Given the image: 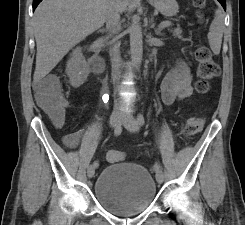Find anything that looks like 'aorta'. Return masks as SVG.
<instances>
[{"label":"aorta","mask_w":245,"mask_h":225,"mask_svg":"<svg viewBox=\"0 0 245 225\" xmlns=\"http://www.w3.org/2000/svg\"><path fill=\"white\" fill-rule=\"evenodd\" d=\"M129 34L131 59L136 69H139L143 56L142 27L139 22V17H133Z\"/></svg>","instance_id":"obj_1"}]
</instances>
